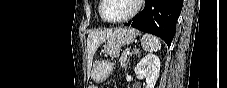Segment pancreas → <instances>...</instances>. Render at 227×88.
I'll return each mask as SVG.
<instances>
[{"instance_id":"1","label":"pancreas","mask_w":227,"mask_h":88,"mask_svg":"<svg viewBox=\"0 0 227 88\" xmlns=\"http://www.w3.org/2000/svg\"><path fill=\"white\" fill-rule=\"evenodd\" d=\"M127 63H128L127 55H125V52H124L119 58V64L120 66H126Z\"/></svg>"}]
</instances>
